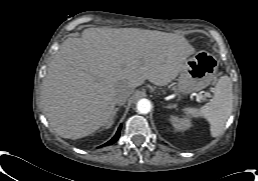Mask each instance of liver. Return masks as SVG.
<instances>
[{
  "label": "liver",
  "mask_w": 258,
  "mask_h": 181,
  "mask_svg": "<svg viewBox=\"0 0 258 181\" xmlns=\"http://www.w3.org/2000/svg\"><path fill=\"white\" fill-rule=\"evenodd\" d=\"M195 49L181 35L137 28H88L60 46L43 80L41 104L51 128L79 139L108 124L119 95L149 80L175 79Z\"/></svg>",
  "instance_id": "liver-1"
}]
</instances>
